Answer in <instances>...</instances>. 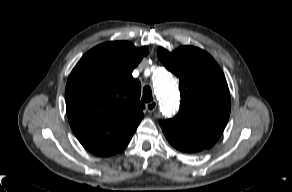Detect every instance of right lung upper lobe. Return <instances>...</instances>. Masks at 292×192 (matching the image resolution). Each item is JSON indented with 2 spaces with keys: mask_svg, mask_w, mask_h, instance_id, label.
Segmentation results:
<instances>
[{
  "mask_svg": "<svg viewBox=\"0 0 292 192\" xmlns=\"http://www.w3.org/2000/svg\"><path fill=\"white\" fill-rule=\"evenodd\" d=\"M148 48L127 41L100 44L72 70L65 89L70 126L88 150L112 149L130 142L144 117L141 86L133 69Z\"/></svg>",
  "mask_w": 292,
  "mask_h": 192,
  "instance_id": "cb5924a9",
  "label": "right lung upper lobe"
}]
</instances>
